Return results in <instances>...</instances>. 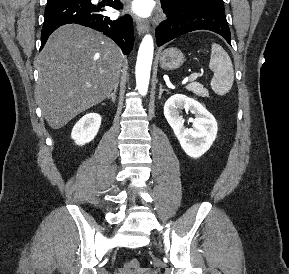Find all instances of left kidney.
<instances>
[{"label":"left kidney","mask_w":289,"mask_h":274,"mask_svg":"<svg viewBox=\"0 0 289 274\" xmlns=\"http://www.w3.org/2000/svg\"><path fill=\"white\" fill-rule=\"evenodd\" d=\"M195 114L192 128L184 127L181 110ZM164 116L172 127L185 153L193 158L201 157L213 144L217 135V122L198 101L175 94L164 105Z\"/></svg>","instance_id":"left-kidney-1"}]
</instances>
